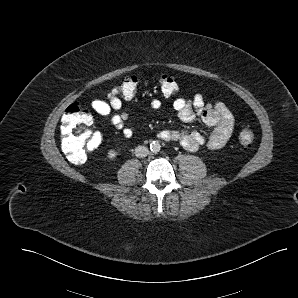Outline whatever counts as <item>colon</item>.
<instances>
[{
  "instance_id": "obj_1",
  "label": "colon",
  "mask_w": 298,
  "mask_h": 298,
  "mask_svg": "<svg viewBox=\"0 0 298 298\" xmlns=\"http://www.w3.org/2000/svg\"><path fill=\"white\" fill-rule=\"evenodd\" d=\"M139 82L137 75H129L112 90L110 95L131 99L137 92ZM158 82L162 94L166 97H172L179 91L177 82L169 74H162ZM91 124V116L78 102L70 104L63 113L60 124L61 148L74 164L85 163L89 153L96 150L101 143V136L92 131ZM254 140V131L249 126L240 128L238 142L241 146L249 148Z\"/></svg>"
}]
</instances>
